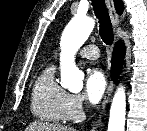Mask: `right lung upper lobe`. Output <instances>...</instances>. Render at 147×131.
I'll list each match as a JSON object with an SVG mask.
<instances>
[{"instance_id": "obj_1", "label": "right lung upper lobe", "mask_w": 147, "mask_h": 131, "mask_svg": "<svg viewBox=\"0 0 147 131\" xmlns=\"http://www.w3.org/2000/svg\"><path fill=\"white\" fill-rule=\"evenodd\" d=\"M114 2H115V8L117 10V13L122 14L123 9H124L122 0H114Z\"/></svg>"}]
</instances>
